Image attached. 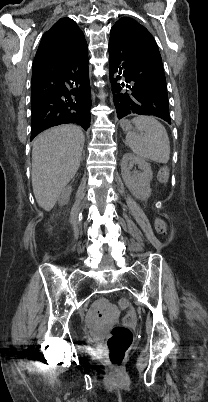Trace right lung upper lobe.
Listing matches in <instances>:
<instances>
[{"label": "right lung upper lobe", "mask_w": 208, "mask_h": 402, "mask_svg": "<svg viewBox=\"0 0 208 402\" xmlns=\"http://www.w3.org/2000/svg\"><path fill=\"white\" fill-rule=\"evenodd\" d=\"M83 41L84 34L76 22L62 18L43 35L33 63L61 58L77 49Z\"/></svg>", "instance_id": "right-lung-upper-lobe-1"}]
</instances>
